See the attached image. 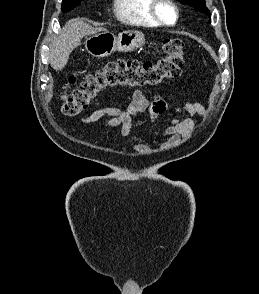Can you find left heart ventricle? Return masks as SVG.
Instances as JSON below:
<instances>
[{"instance_id": "b2bd125f", "label": "left heart ventricle", "mask_w": 259, "mask_h": 294, "mask_svg": "<svg viewBox=\"0 0 259 294\" xmlns=\"http://www.w3.org/2000/svg\"><path fill=\"white\" fill-rule=\"evenodd\" d=\"M159 11L166 22L172 23L174 21V12L168 5H161Z\"/></svg>"}]
</instances>
